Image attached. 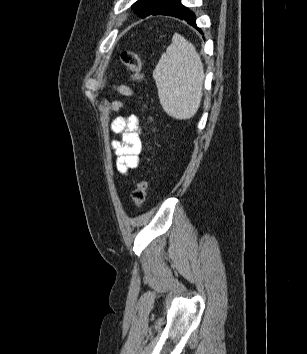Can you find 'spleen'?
Wrapping results in <instances>:
<instances>
[{
	"mask_svg": "<svg viewBox=\"0 0 307 354\" xmlns=\"http://www.w3.org/2000/svg\"><path fill=\"white\" fill-rule=\"evenodd\" d=\"M153 78L164 111L178 120L192 118L200 107L204 68L195 47L179 34L161 55Z\"/></svg>",
	"mask_w": 307,
	"mask_h": 354,
	"instance_id": "1",
	"label": "spleen"
}]
</instances>
